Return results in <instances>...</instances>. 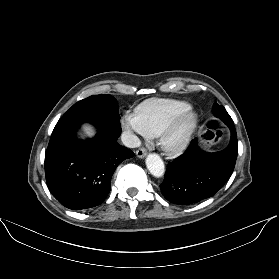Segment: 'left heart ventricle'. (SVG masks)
I'll return each instance as SVG.
<instances>
[{"label":"left heart ventricle","mask_w":279,"mask_h":279,"mask_svg":"<svg viewBox=\"0 0 279 279\" xmlns=\"http://www.w3.org/2000/svg\"><path fill=\"white\" fill-rule=\"evenodd\" d=\"M181 130V129H180ZM180 130L177 132L176 136H178V134L180 133Z\"/></svg>","instance_id":"b2bd125f"}]
</instances>
